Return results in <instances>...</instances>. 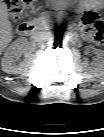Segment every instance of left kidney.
Here are the masks:
<instances>
[{"mask_svg": "<svg viewBox=\"0 0 104 137\" xmlns=\"http://www.w3.org/2000/svg\"><path fill=\"white\" fill-rule=\"evenodd\" d=\"M103 51L102 50H98L97 51V58L95 59V63L97 65L98 68H102L103 67Z\"/></svg>", "mask_w": 104, "mask_h": 137, "instance_id": "left-kidney-1", "label": "left kidney"}]
</instances>
